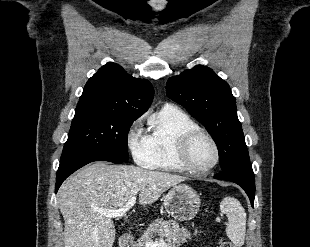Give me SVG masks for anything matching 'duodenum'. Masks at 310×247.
Instances as JSON below:
<instances>
[{"instance_id":"duodenum-1","label":"duodenum","mask_w":310,"mask_h":247,"mask_svg":"<svg viewBox=\"0 0 310 247\" xmlns=\"http://www.w3.org/2000/svg\"><path fill=\"white\" fill-rule=\"evenodd\" d=\"M132 245V236L128 233H123L119 237V246L120 247H131Z\"/></svg>"}]
</instances>
